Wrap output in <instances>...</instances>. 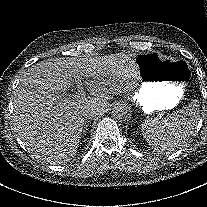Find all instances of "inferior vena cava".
I'll list each match as a JSON object with an SVG mask.
<instances>
[{"label":"inferior vena cava","instance_id":"1","mask_svg":"<svg viewBox=\"0 0 207 207\" xmlns=\"http://www.w3.org/2000/svg\"><path fill=\"white\" fill-rule=\"evenodd\" d=\"M100 111L99 110H96V113L95 114H97V113H99Z\"/></svg>","mask_w":207,"mask_h":207}]
</instances>
